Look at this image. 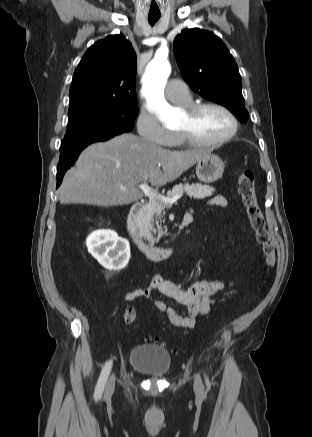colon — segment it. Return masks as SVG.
I'll return each mask as SVG.
<instances>
[{"mask_svg":"<svg viewBox=\"0 0 312 437\" xmlns=\"http://www.w3.org/2000/svg\"><path fill=\"white\" fill-rule=\"evenodd\" d=\"M237 187L256 241L263 250L265 262L268 267H272L276 260L275 247L266 228L264 216L255 193L254 175L250 170L242 169L239 172ZM136 318L137 314L134 308L129 307L125 310L124 321L127 324H132Z\"/></svg>","mask_w":312,"mask_h":437,"instance_id":"colon-1","label":"colon"}]
</instances>
